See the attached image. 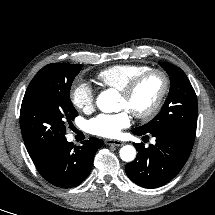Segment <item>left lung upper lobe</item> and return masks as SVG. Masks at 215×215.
<instances>
[{
  "label": "left lung upper lobe",
  "mask_w": 215,
  "mask_h": 215,
  "mask_svg": "<svg viewBox=\"0 0 215 215\" xmlns=\"http://www.w3.org/2000/svg\"><path fill=\"white\" fill-rule=\"evenodd\" d=\"M160 65L170 77L169 95L161 111L154 119L133 130L153 132L169 128L195 136L197 126V97L195 91L180 68L168 63H160Z\"/></svg>",
  "instance_id": "left-lung-upper-lobe-1"
}]
</instances>
